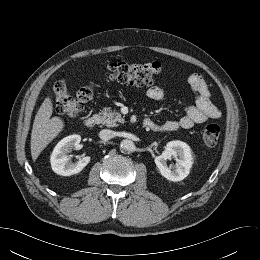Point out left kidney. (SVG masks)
I'll return each instance as SVG.
<instances>
[{"mask_svg": "<svg viewBox=\"0 0 260 260\" xmlns=\"http://www.w3.org/2000/svg\"><path fill=\"white\" fill-rule=\"evenodd\" d=\"M176 159V164H167V160ZM154 162L161 175L170 181H181L185 179L193 164L190 147L182 141L168 142L161 155L156 156Z\"/></svg>", "mask_w": 260, "mask_h": 260, "instance_id": "5707ae66", "label": "left kidney"}]
</instances>
